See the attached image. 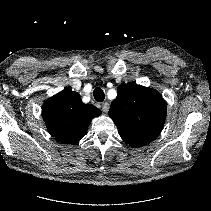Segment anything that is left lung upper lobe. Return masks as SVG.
Instances as JSON below:
<instances>
[{"mask_svg":"<svg viewBox=\"0 0 211 211\" xmlns=\"http://www.w3.org/2000/svg\"><path fill=\"white\" fill-rule=\"evenodd\" d=\"M109 116L127 144L140 147L152 142L165 123L167 106L154 89L133 83L121 84Z\"/></svg>","mask_w":211,"mask_h":211,"instance_id":"left-lung-upper-lobe-1","label":"left lung upper lobe"}]
</instances>
